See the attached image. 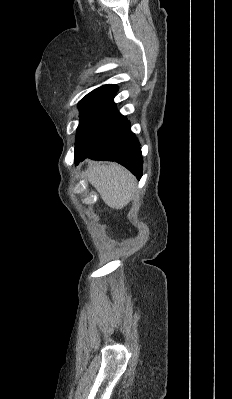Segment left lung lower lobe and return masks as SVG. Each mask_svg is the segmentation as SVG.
<instances>
[{"label": "left lung lower lobe", "instance_id": "0a47b994", "mask_svg": "<svg viewBox=\"0 0 232 399\" xmlns=\"http://www.w3.org/2000/svg\"><path fill=\"white\" fill-rule=\"evenodd\" d=\"M125 119L122 125L99 147L75 160V164L86 158L93 160L116 161L130 170L137 179L143 172V158L140 143Z\"/></svg>", "mask_w": 232, "mask_h": 399}]
</instances>
